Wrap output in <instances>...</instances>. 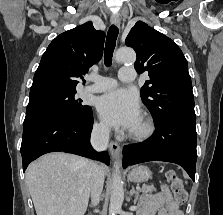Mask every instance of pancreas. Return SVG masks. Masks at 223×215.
Masks as SVG:
<instances>
[{
    "instance_id": "obj_1",
    "label": "pancreas",
    "mask_w": 223,
    "mask_h": 215,
    "mask_svg": "<svg viewBox=\"0 0 223 215\" xmlns=\"http://www.w3.org/2000/svg\"><path fill=\"white\" fill-rule=\"evenodd\" d=\"M140 191H156V187L154 185H143Z\"/></svg>"
}]
</instances>
